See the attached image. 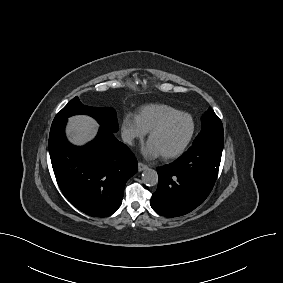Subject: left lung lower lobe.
I'll return each mask as SVG.
<instances>
[{"label":"left lung lower lobe","mask_w":283,"mask_h":283,"mask_svg":"<svg viewBox=\"0 0 283 283\" xmlns=\"http://www.w3.org/2000/svg\"><path fill=\"white\" fill-rule=\"evenodd\" d=\"M222 150L211 143H196L174 163L157 168L159 182L151 207L162 216L177 217L202 204L215 184Z\"/></svg>","instance_id":"1"}]
</instances>
